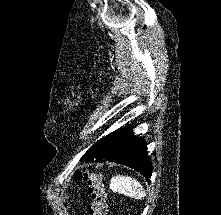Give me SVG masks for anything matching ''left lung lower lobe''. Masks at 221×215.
<instances>
[{
    "label": "left lung lower lobe",
    "instance_id": "0a47b994",
    "mask_svg": "<svg viewBox=\"0 0 221 215\" xmlns=\"http://www.w3.org/2000/svg\"><path fill=\"white\" fill-rule=\"evenodd\" d=\"M103 159L134 168L148 181L151 177L152 168L146 142L143 138L135 137L130 128L119 129L111 134L105 153L95 160Z\"/></svg>",
    "mask_w": 221,
    "mask_h": 215
}]
</instances>
